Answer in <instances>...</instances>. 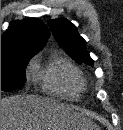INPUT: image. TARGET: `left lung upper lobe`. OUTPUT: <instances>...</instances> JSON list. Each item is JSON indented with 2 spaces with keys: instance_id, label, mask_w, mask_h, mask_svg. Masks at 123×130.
Wrapping results in <instances>:
<instances>
[{
  "instance_id": "5c2ea615",
  "label": "left lung upper lobe",
  "mask_w": 123,
  "mask_h": 130,
  "mask_svg": "<svg viewBox=\"0 0 123 130\" xmlns=\"http://www.w3.org/2000/svg\"><path fill=\"white\" fill-rule=\"evenodd\" d=\"M48 26L59 45L72 59L79 64L93 66L94 61L86 49V41L78 34L76 27L70 21L65 18L53 19L48 22Z\"/></svg>"
}]
</instances>
